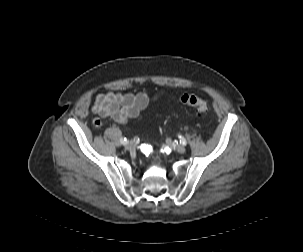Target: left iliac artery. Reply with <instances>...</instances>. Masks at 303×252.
<instances>
[{
	"mask_svg": "<svg viewBox=\"0 0 303 252\" xmlns=\"http://www.w3.org/2000/svg\"><path fill=\"white\" fill-rule=\"evenodd\" d=\"M180 143L185 146L187 144V141L184 137L180 136Z\"/></svg>",
	"mask_w": 303,
	"mask_h": 252,
	"instance_id": "1",
	"label": "left iliac artery"
}]
</instances>
